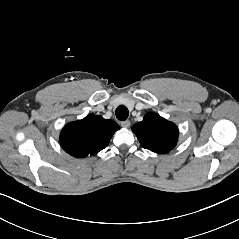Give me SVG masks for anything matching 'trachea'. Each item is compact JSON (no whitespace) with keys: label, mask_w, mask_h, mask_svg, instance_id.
<instances>
[{"label":"trachea","mask_w":239,"mask_h":239,"mask_svg":"<svg viewBox=\"0 0 239 239\" xmlns=\"http://www.w3.org/2000/svg\"><path fill=\"white\" fill-rule=\"evenodd\" d=\"M128 115H129V111L125 106L120 105L117 107L116 117L118 120L125 121L128 118Z\"/></svg>","instance_id":"1"}]
</instances>
